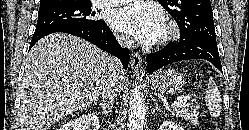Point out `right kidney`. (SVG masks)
<instances>
[{"instance_id": "ca27d5eb", "label": "right kidney", "mask_w": 249, "mask_h": 130, "mask_svg": "<svg viewBox=\"0 0 249 130\" xmlns=\"http://www.w3.org/2000/svg\"><path fill=\"white\" fill-rule=\"evenodd\" d=\"M99 119L94 113L83 114L76 120L65 123L59 130H98Z\"/></svg>"}]
</instances>
